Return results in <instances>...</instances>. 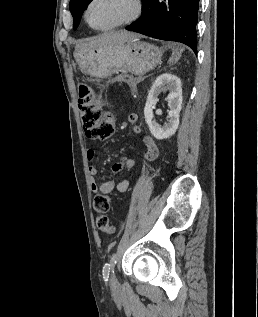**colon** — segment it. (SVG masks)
Here are the masks:
<instances>
[{"label":"colon","mask_w":258,"mask_h":317,"mask_svg":"<svg viewBox=\"0 0 258 317\" xmlns=\"http://www.w3.org/2000/svg\"><path fill=\"white\" fill-rule=\"evenodd\" d=\"M78 106L82 118V126L88 138L106 139L112 136L115 130L113 115L105 110L93 91L86 85L79 88ZM93 208L98 214L96 225L102 232L112 233L114 227L106 215L111 208L110 198L103 193L94 197Z\"/></svg>","instance_id":"1"}]
</instances>
